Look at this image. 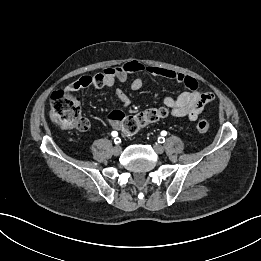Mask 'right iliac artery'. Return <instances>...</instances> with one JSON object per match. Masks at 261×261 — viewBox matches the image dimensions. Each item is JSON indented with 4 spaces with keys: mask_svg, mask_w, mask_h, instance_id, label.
Here are the masks:
<instances>
[{
    "mask_svg": "<svg viewBox=\"0 0 261 261\" xmlns=\"http://www.w3.org/2000/svg\"><path fill=\"white\" fill-rule=\"evenodd\" d=\"M117 135H118V133L116 131L112 132V136L116 137ZM114 142H115V144H119L121 142V139L119 137H116L114 139Z\"/></svg>",
    "mask_w": 261,
    "mask_h": 261,
    "instance_id": "82829eb1",
    "label": "right iliac artery"
}]
</instances>
